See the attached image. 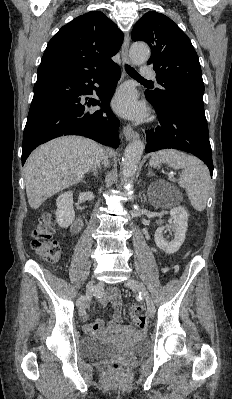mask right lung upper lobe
Returning <instances> with one entry per match:
<instances>
[{"label":"right lung upper lobe","mask_w":232,"mask_h":399,"mask_svg":"<svg viewBox=\"0 0 232 399\" xmlns=\"http://www.w3.org/2000/svg\"><path fill=\"white\" fill-rule=\"evenodd\" d=\"M123 33L100 11L83 14L63 26L49 41L38 75L88 72L114 64Z\"/></svg>","instance_id":"right-lung-upper-lobe-1"}]
</instances>
